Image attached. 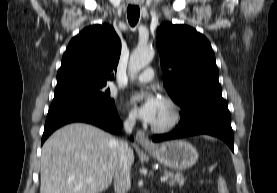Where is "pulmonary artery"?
Segmentation results:
<instances>
[{
	"label": "pulmonary artery",
	"instance_id": "obj_1",
	"mask_svg": "<svg viewBox=\"0 0 277 193\" xmlns=\"http://www.w3.org/2000/svg\"><path fill=\"white\" fill-rule=\"evenodd\" d=\"M154 77V71L152 68L145 69L138 77L137 82L138 83H146L153 79Z\"/></svg>",
	"mask_w": 277,
	"mask_h": 193
}]
</instances>
